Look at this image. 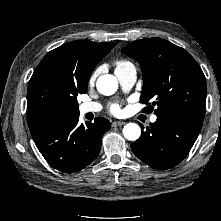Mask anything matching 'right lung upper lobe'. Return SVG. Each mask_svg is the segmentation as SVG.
<instances>
[{
    "label": "right lung upper lobe",
    "instance_id": "1",
    "mask_svg": "<svg viewBox=\"0 0 221 221\" xmlns=\"http://www.w3.org/2000/svg\"><path fill=\"white\" fill-rule=\"evenodd\" d=\"M115 43L76 40L50 51L35 69L27 91V121L33 124L60 114H77L78 94L87 91L97 62Z\"/></svg>",
    "mask_w": 221,
    "mask_h": 221
}]
</instances>
